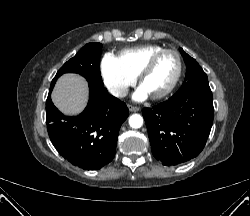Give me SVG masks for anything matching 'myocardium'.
<instances>
[{
	"mask_svg": "<svg viewBox=\"0 0 250 216\" xmlns=\"http://www.w3.org/2000/svg\"><path fill=\"white\" fill-rule=\"evenodd\" d=\"M167 53L173 54L176 57L177 71H176V74H175L171 84L163 92H161V93H159L157 95H154V96H150L151 99H153V100H160V99H163V98L167 97L175 89V87L177 86V84H178V82L180 80V77L182 75V70H183V61H182L181 55L175 49H162V50L154 53L149 58V60L146 62V64L143 66L140 73L138 74V82L141 85L144 78L152 70V68L155 65L156 61L162 55L167 54Z\"/></svg>",
	"mask_w": 250,
	"mask_h": 216,
	"instance_id": "myocardium-1",
	"label": "myocardium"
}]
</instances>
